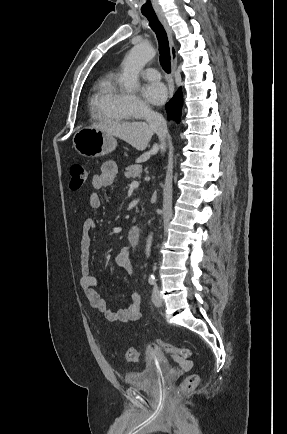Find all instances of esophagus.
I'll return each instance as SVG.
<instances>
[{"instance_id": "esophagus-1", "label": "esophagus", "mask_w": 287, "mask_h": 434, "mask_svg": "<svg viewBox=\"0 0 287 434\" xmlns=\"http://www.w3.org/2000/svg\"><path fill=\"white\" fill-rule=\"evenodd\" d=\"M157 16H158L160 22L162 23V25L164 26V28L168 34V37H169L170 53H171V66H172V72L174 73V71L177 68V51H176V47H175L174 42H173L172 31H171V28L167 22L165 15L163 14V12H157Z\"/></svg>"}]
</instances>
